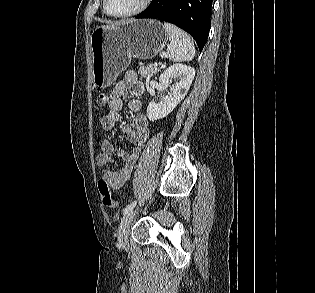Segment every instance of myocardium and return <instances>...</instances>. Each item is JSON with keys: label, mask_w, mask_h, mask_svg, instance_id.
<instances>
[{"label": "myocardium", "mask_w": 315, "mask_h": 293, "mask_svg": "<svg viewBox=\"0 0 315 293\" xmlns=\"http://www.w3.org/2000/svg\"><path fill=\"white\" fill-rule=\"evenodd\" d=\"M151 3H152V0H143V3L137 9H135L131 12L125 13V14H115V13L111 12L109 9V6H108V0H103V8H104L106 14L111 16V17L127 18V17L135 16V15L142 13L143 11H145L150 6Z\"/></svg>", "instance_id": "f54148a6"}]
</instances>
